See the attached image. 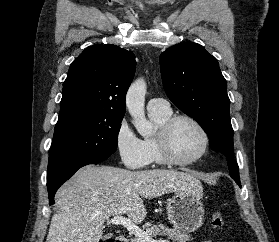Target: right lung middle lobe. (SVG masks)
Here are the masks:
<instances>
[{
    "instance_id": "obj_1",
    "label": "right lung middle lobe",
    "mask_w": 279,
    "mask_h": 242,
    "mask_svg": "<svg viewBox=\"0 0 279 242\" xmlns=\"http://www.w3.org/2000/svg\"><path fill=\"white\" fill-rule=\"evenodd\" d=\"M122 119L83 110L60 114L51 145L47 176L80 158L113 154Z\"/></svg>"
}]
</instances>
